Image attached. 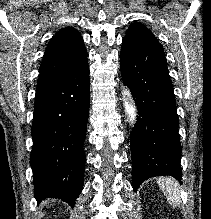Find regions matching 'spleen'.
Returning a JSON list of instances; mask_svg holds the SVG:
<instances>
[{"label":"spleen","mask_w":211,"mask_h":219,"mask_svg":"<svg viewBox=\"0 0 211 219\" xmlns=\"http://www.w3.org/2000/svg\"><path fill=\"white\" fill-rule=\"evenodd\" d=\"M158 185L162 189L163 193L165 194L168 202L173 206H178L180 202V193L178 183L170 178H159L157 181Z\"/></svg>","instance_id":"1"}]
</instances>
